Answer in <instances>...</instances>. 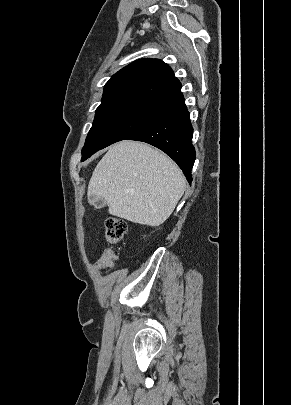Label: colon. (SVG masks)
<instances>
[{
    "label": "colon",
    "mask_w": 291,
    "mask_h": 405,
    "mask_svg": "<svg viewBox=\"0 0 291 405\" xmlns=\"http://www.w3.org/2000/svg\"><path fill=\"white\" fill-rule=\"evenodd\" d=\"M105 229L107 242L110 245H115L124 238L127 232V224L124 220L111 216L105 221ZM116 260L117 254L115 250L112 247H107L103 250L97 261V267L100 269H109Z\"/></svg>",
    "instance_id": "1"
}]
</instances>
